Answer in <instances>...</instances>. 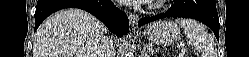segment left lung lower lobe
<instances>
[{
    "instance_id": "obj_1",
    "label": "left lung lower lobe",
    "mask_w": 249,
    "mask_h": 57,
    "mask_svg": "<svg viewBox=\"0 0 249 57\" xmlns=\"http://www.w3.org/2000/svg\"><path fill=\"white\" fill-rule=\"evenodd\" d=\"M166 17H184L198 20L210 27L219 40V18L215 0H174L165 13L140 19L138 26Z\"/></svg>"
}]
</instances>
